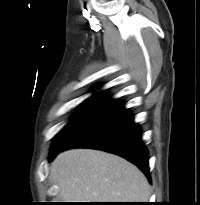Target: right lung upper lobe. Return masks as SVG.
<instances>
[{
    "label": "right lung upper lobe",
    "instance_id": "cb5924a9",
    "mask_svg": "<svg viewBox=\"0 0 200 205\" xmlns=\"http://www.w3.org/2000/svg\"><path fill=\"white\" fill-rule=\"evenodd\" d=\"M86 101H102V102H114V100L109 99V97L105 96L103 92H98L91 97H89Z\"/></svg>",
    "mask_w": 200,
    "mask_h": 205
}]
</instances>
